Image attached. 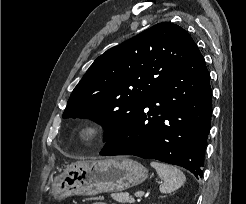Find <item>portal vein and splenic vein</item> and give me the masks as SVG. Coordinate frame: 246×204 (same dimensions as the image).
<instances>
[{
	"label": "portal vein and splenic vein",
	"mask_w": 246,
	"mask_h": 204,
	"mask_svg": "<svg viewBox=\"0 0 246 204\" xmlns=\"http://www.w3.org/2000/svg\"><path fill=\"white\" fill-rule=\"evenodd\" d=\"M144 195V192L143 191H139V192H137L136 194H135V196H137V197H141V196H143Z\"/></svg>",
	"instance_id": "1"
}]
</instances>
